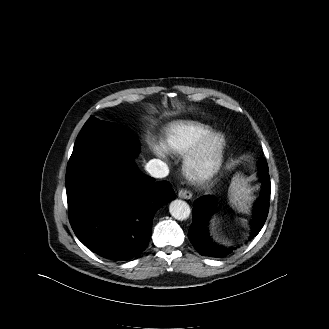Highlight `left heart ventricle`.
I'll return each mask as SVG.
<instances>
[{"mask_svg": "<svg viewBox=\"0 0 329 329\" xmlns=\"http://www.w3.org/2000/svg\"><path fill=\"white\" fill-rule=\"evenodd\" d=\"M213 156H214L213 151L210 149V150L207 152L204 161H205V162H210V161L213 159Z\"/></svg>", "mask_w": 329, "mask_h": 329, "instance_id": "obj_1", "label": "left heart ventricle"}]
</instances>
